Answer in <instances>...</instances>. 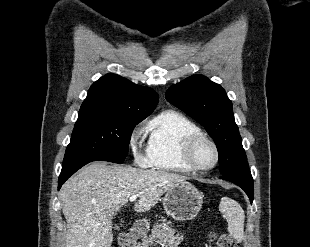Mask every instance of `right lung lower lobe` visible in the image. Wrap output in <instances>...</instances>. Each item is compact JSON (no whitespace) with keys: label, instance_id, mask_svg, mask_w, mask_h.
I'll use <instances>...</instances> for the list:
<instances>
[{"label":"right lung lower lobe","instance_id":"1","mask_svg":"<svg viewBox=\"0 0 310 247\" xmlns=\"http://www.w3.org/2000/svg\"><path fill=\"white\" fill-rule=\"evenodd\" d=\"M96 161V160H83L78 162H73L67 165H63L61 174L59 176V182H58V190L61 188L63 183L72 175L74 174L78 169L83 167L84 165L88 164L89 162Z\"/></svg>","mask_w":310,"mask_h":247}]
</instances>
